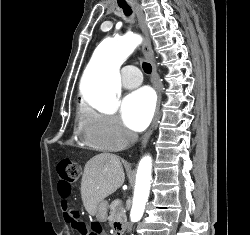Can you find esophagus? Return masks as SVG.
<instances>
[{
  "mask_svg": "<svg viewBox=\"0 0 250 235\" xmlns=\"http://www.w3.org/2000/svg\"><path fill=\"white\" fill-rule=\"evenodd\" d=\"M135 13H136V16L138 18L140 29L143 33L142 51H143L145 57L150 61L151 65H152L153 85H154V88H155L157 95H158V107H157V110L155 112L154 119H153L149 129L144 134V136L142 137V140H141V147H143L148 142V140L153 132V129L156 125V122L158 120V117L160 114V103L162 100V93H161L159 83L157 81V67H156L155 60H154V57L152 54L151 43H150V40L148 37V30H147V26H146V22H145V18H144V13L142 11V8L139 5H136Z\"/></svg>",
  "mask_w": 250,
  "mask_h": 235,
  "instance_id": "1",
  "label": "esophagus"
}]
</instances>
